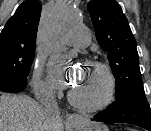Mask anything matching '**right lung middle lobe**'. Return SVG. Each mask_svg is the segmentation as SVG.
<instances>
[{"instance_id":"1","label":"right lung middle lobe","mask_w":151,"mask_h":131,"mask_svg":"<svg viewBox=\"0 0 151 131\" xmlns=\"http://www.w3.org/2000/svg\"><path fill=\"white\" fill-rule=\"evenodd\" d=\"M35 47L18 42L0 45V91L21 92L34 59Z\"/></svg>"}]
</instances>
